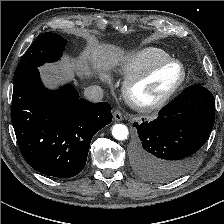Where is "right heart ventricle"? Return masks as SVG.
<instances>
[{
    "label": "right heart ventricle",
    "mask_w": 224,
    "mask_h": 224,
    "mask_svg": "<svg viewBox=\"0 0 224 224\" xmlns=\"http://www.w3.org/2000/svg\"><path fill=\"white\" fill-rule=\"evenodd\" d=\"M169 58L170 55L161 48L145 47L128 55L120 67V72L125 77H130L142 72L156 62Z\"/></svg>",
    "instance_id": "obj_1"
}]
</instances>
